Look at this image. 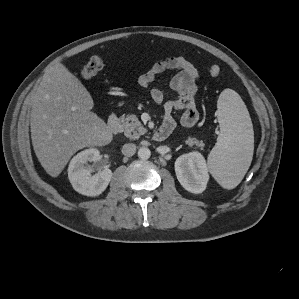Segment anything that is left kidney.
<instances>
[{
  "instance_id": "1",
  "label": "left kidney",
  "mask_w": 299,
  "mask_h": 299,
  "mask_svg": "<svg viewBox=\"0 0 299 299\" xmlns=\"http://www.w3.org/2000/svg\"><path fill=\"white\" fill-rule=\"evenodd\" d=\"M175 172L184 189L191 193H202L207 186L209 173L203 155L193 151L179 156L175 161Z\"/></svg>"
}]
</instances>
